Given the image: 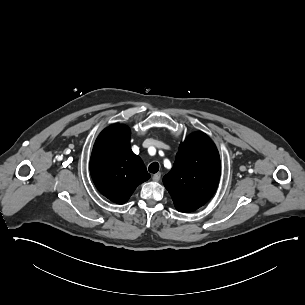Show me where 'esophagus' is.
Listing matches in <instances>:
<instances>
[{"instance_id": "1", "label": "esophagus", "mask_w": 305, "mask_h": 305, "mask_svg": "<svg viewBox=\"0 0 305 305\" xmlns=\"http://www.w3.org/2000/svg\"><path fill=\"white\" fill-rule=\"evenodd\" d=\"M160 178H161V173H156L153 175L152 180L157 182L160 180Z\"/></svg>"}]
</instances>
